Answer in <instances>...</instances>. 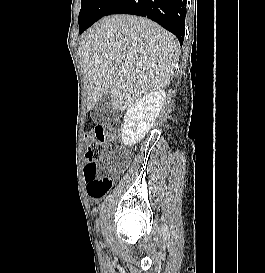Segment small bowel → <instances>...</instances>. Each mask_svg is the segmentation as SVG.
I'll return each mask as SVG.
<instances>
[{
	"label": "small bowel",
	"mask_w": 265,
	"mask_h": 273,
	"mask_svg": "<svg viewBox=\"0 0 265 273\" xmlns=\"http://www.w3.org/2000/svg\"><path fill=\"white\" fill-rule=\"evenodd\" d=\"M89 162V161H88ZM92 198H94V199H99V198H97V197H94V196H91Z\"/></svg>",
	"instance_id": "obj_1"
}]
</instances>
